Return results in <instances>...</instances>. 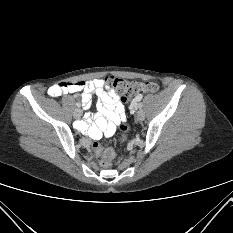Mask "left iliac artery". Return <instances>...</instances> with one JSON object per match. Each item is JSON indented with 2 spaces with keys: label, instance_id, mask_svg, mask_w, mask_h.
I'll use <instances>...</instances> for the list:
<instances>
[{
  "label": "left iliac artery",
  "instance_id": "1",
  "mask_svg": "<svg viewBox=\"0 0 233 233\" xmlns=\"http://www.w3.org/2000/svg\"><path fill=\"white\" fill-rule=\"evenodd\" d=\"M138 101H140L142 99V96H137L136 98ZM138 107L141 108L142 107V103L138 104Z\"/></svg>",
  "mask_w": 233,
  "mask_h": 233
}]
</instances>
